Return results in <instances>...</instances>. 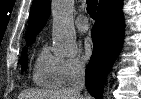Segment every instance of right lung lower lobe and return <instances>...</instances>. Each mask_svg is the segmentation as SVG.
Here are the masks:
<instances>
[{"mask_svg":"<svg viewBox=\"0 0 141 99\" xmlns=\"http://www.w3.org/2000/svg\"><path fill=\"white\" fill-rule=\"evenodd\" d=\"M121 9L122 0H107L98 6L91 33L94 51L85 72L86 87L97 99L102 96L105 79L123 43L125 24Z\"/></svg>","mask_w":141,"mask_h":99,"instance_id":"1","label":"right lung lower lobe"}]
</instances>
